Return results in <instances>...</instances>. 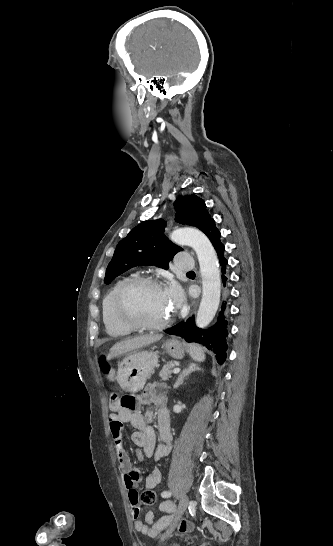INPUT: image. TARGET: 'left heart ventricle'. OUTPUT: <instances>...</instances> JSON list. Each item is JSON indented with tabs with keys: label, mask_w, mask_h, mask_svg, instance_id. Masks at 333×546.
I'll return each instance as SVG.
<instances>
[{
	"label": "left heart ventricle",
	"mask_w": 333,
	"mask_h": 546,
	"mask_svg": "<svg viewBox=\"0 0 333 546\" xmlns=\"http://www.w3.org/2000/svg\"><path fill=\"white\" fill-rule=\"evenodd\" d=\"M129 305L138 317L150 323L162 322L173 312L165 290L156 286L136 289L129 298Z\"/></svg>",
	"instance_id": "1"
}]
</instances>
